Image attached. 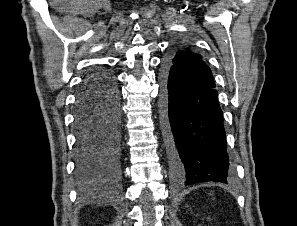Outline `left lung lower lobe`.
<instances>
[{
	"label": "left lung lower lobe",
	"mask_w": 297,
	"mask_h": 226,
	"mask_svg": "<svg viewBox=\"0 0 297 226\" xmlns=\"http://www.w3.org/2000/svg\"><path fill=\"white\" fill-rule=\"evenodd\" d=\"M161 84V122L174 181L179 185L227 183L232 166L215 86L191 88L174 73L167 60Z\"/></svg>",
	"instance_id": "0a47b994"
}]
</instances>
